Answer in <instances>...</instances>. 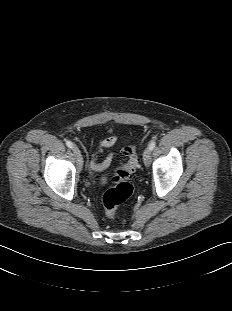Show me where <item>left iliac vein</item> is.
I'll use <instances>...</instances> for the list:
<instances>
[{
    "mask_svg": "<svg viewBox=\"0 0 232 311\" xmlns=\"http://www.w3.org/2000/svg\"><path fill=\"white\" fill-rule=\"evenodd\" d=\"M143 160L146 167L150 166L151 164V150L150 148H146L143 153Z\"/></svg>",
    "mask_w": 232,
    "mask_h": 311,
    "instance_id": "left-iliac-vein-1",
    "label": "left iliac vein"
}]
</instances>
